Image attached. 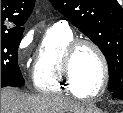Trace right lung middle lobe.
I'll use <instances>...</instances> for the list:
<instances>
[{"mask_svg":"<svg viewBox=\"0 0 123 113\" xmlns=\"http://www.w3.org/2000/svg\"><path fill=\"white\" fill-rule=\"evenodd\" d=\"M22 34L1 37V88L25 84L18 61V47Z\"/></svg>","mask_w":123,"mask_h":113,"instance_id":"right-lung-middle-lobe-1","label":"right lung middle lobe"}]
</instances>
